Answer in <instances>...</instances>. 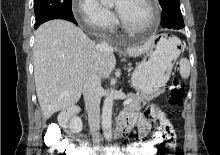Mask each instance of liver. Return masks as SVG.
I'll return each instance as SVG.
<instances>
[{
  "label": "liver",
  "mask_w": 220,
  "mask_h": 155,
  "mask_svg": "<svg viewBox=\"0 0 220 155\" xmlns=\"http://www.w3.org/2000/svg\"><path fill=\"white\" fill-rule=\"evenodd\" d=\"M149 48L150 44H146L129 48L127 53L139 56ZM33 65L38 102L44 118L48 119L79 101L93 66L106 79L115 68L116 59L112 48L95 44L71 22L51 20L35 32Z\"/></svg>",
  "instance_id": "1"
}]
</instances>
